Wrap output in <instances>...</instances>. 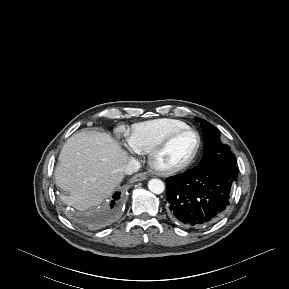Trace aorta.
Here are the masks:
<instances>
[{"label": "aorta", "mask_w": 289, "mask_h": 289, "mask_svg": "<svg viewBox=\"0 0 289 289\" xmlns=\"http://www.w3.org/2000/svg\"><path fill=\"white\" fill-rule=\"evenodd\" d=\"M148 189L154 194H161L165 189V185L162 180L154 178L149 180Z\"/></svg>", "instance_id": "obj_1"}]
</instances>
